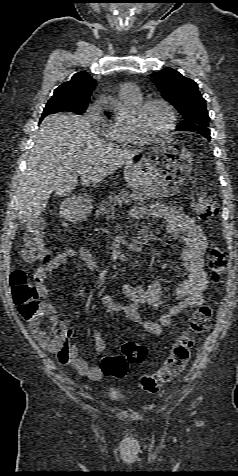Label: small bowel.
<instances>
[{
    "label": "small bowel",
    "mask_w": 238,
    "mask_h": 476,
    "mask_svg": "<svg viewBox=\"0 0 238 476\" xmlns=\"http://www.w3.org/2000/svg\"><path fill=\"white\" fill-rule=\"evenodd\" d=\"M131 216L140 220L148 217L165 220L167 233L177 242L174 252L181 259L183 271L186 275V279L175 289V295L179 298V301L163 312L157 320L144 319L139 312L141 306L150 305L161 308L163 305L162 285L153 282L143 287L125 282L122 284V292L128 300L127 304L118 303L111 295H104L101 298V305L107 313H121L133 323L142 326L146 331L159 335L165 327L171 324L173 318L181 312L188 308L201 306L203 293L209 285L203 259L207 242L201 227L192 217L167 205L155 204L149 208L135 207L131 211ZM70 258L80 259L86 269L90 271L97 267L96 259L85 246H80L77 249L69 248L58 253L38 267L34 274L35 287L40 298L48 296L46 286L48 275ZM52 324L57 325L58 321L53 319ZM93 341L96 351L103 353L106 344L97 330L93 331ZM57 357L61 364L72 366L78 373L92 380H99L104 375L101 366L89 365L87 360L79 355L77 345L68 346L66 352L57 355Z\"/></svg>",
    "instance_id": "c3829d8e"
}]
</instances>
